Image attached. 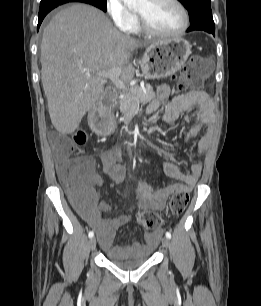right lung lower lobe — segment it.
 <instances>
[{"instance_id": "1", "label": "right lung lower lobe", "mask_w": 261, "mask_h": 306, "mask_svg": "<svg viewBox=\"0 0 261 306\" xmlns=\"http://www.w3.org/2000/svg\"><path fill=\"white\" fill-rule=\"evenodd\" d=\"M70 1H54V2H49V3H45V4H41L40 5V9H39V20H38V26L37 28L39 29L44 17L54 8H56L57 6L64 4V3H68Z\"/></svg>"}]
</instances>
